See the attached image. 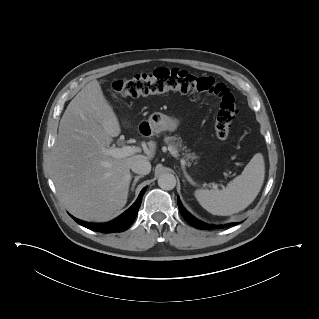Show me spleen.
I'll list each match as a JSON object with an SVG mask.
<instances>
[{"label": "spleen", "instance_id": "1", "mask_svg": "<svg viewBox=\"0 0 319 319\" xmlns=\"http://www.w3.org/2000/svg\"><path fill=\"white\" fill-rule=\"evenodd\" d=\"M265 176L263 155L255 154L241 175L218 189H198L195 197L199 204L213 215L228 216L247 208L261 190Z\"/></svg>", "mask_w": 319, "mask_h": 319}]
</instances>
